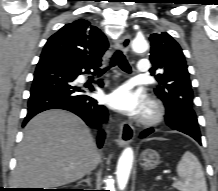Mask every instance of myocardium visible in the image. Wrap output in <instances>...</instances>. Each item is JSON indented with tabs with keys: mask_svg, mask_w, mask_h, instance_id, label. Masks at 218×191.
Returning a JSON list of instances; mask_svg holds the SVG:
<instances>
[{
	"mask_svg": "<svg viewBox=\"0 0 218 191\" xmlns=\"http://www.w3.org/2000/svg\"><path fill=\"white\" fill-rule=\"evenodd\" d=\"M164 116V105L160 101L152 99L147 103L140 117V123L145 126H153L160 123L164 119Z\"/></svg>",
	"mask_w": 218,
	"mask_h": 191,
	"instance_id": "obj_1",
	"label": "myocardium"
}]
</instances>
